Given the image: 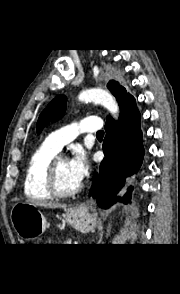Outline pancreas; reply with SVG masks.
Masks as SVG:
<instances>
[{"mask_svg":"<svg viewBox=\"0 0 180 294\" xmlns=\"http://www.w3.org/2000/svg\"><path fill=\"white\" fill-rule=\"evenodd\" d=\"M65 244H71V242H66Z\"/></svg>","mask_w":180,"mask_h":294,"instance_id":"1","label":"pancreas"}]
</instances>
